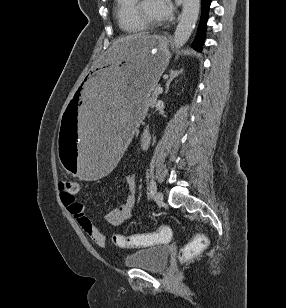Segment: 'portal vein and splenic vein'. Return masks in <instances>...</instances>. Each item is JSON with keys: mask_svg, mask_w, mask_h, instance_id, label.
<instances>
[{"mask_svg": "<svg viewBox=\"0 0 286 308\" xmlns=\"http://www.w3.org/2000/svg\"><path fill=\"white\" fill-rule=\"evenodd\" d=\"M156 92H157L158 94L162 93V92H163V88H162V87H158V88L156 89Z\"/></svg>", "mask_w": 286, "mask_h": 308, "instance_id": "18ae733b", "label": "portal vein and splenic vein"}]
</instances>
